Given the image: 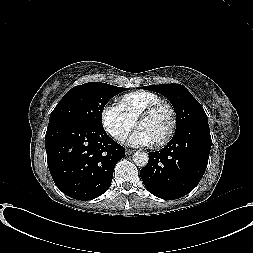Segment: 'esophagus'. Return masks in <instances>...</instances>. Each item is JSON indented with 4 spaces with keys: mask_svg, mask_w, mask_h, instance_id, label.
Returning a JSON list of instances; mask_svg holds the SVG:
<instances>
[{
    "mask_svg": "<svg viewBox=\"0 0 253 253\" xmlns=\"http://www.w3.org/2000/svg\"><path fill=\"white\" fill-rule=\"evenodd\" d=\"M132 153H134V150L126 149V154L127 155H131Z\"/></svg>",
    "mask_w": 253,
    "mask_h": 253,
    "instance_id": "obj_1",
    "label": "esophagus"
}]
</instances>
